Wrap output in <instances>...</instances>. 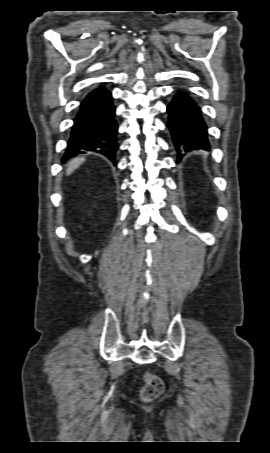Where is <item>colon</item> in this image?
Returning a JSON list of instances; mask_svg holds the SVG:
<instances>
[{"label": "colon", "instance_id": "obj_1", "mask_svg": "<svg viewBox=\"0 0 270 453\" xmlns=\"http://www.w3.org/2000/svg\"><path fill=\"white\" fill-rule=\"evenodd\" d=\"M164 389L163 381L156 375L145 374L141 398L144 402H151L161 395Z\"/></svg>", "mask_w": 270, "mask_h": 453}]
</instances>
